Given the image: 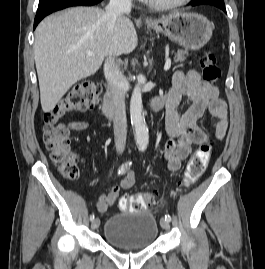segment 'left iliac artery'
Segmentation results:
<instances>
[{"mask_svg":"<svg viewBox=\"0 0 265 269\" xmlns=\"http://www.w3.org/2000/svg\"><path fill=\"white\" fill-rule=\"evenodd\" d=\"M165 220H167L168 222H170L171 221V216L169 214H166L165 215Z\"/></svg>","mask_w":265,"mask_h":269,"instance_id":"44dca946","label":"left iliac artery"}]
</instances>
